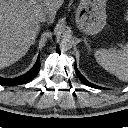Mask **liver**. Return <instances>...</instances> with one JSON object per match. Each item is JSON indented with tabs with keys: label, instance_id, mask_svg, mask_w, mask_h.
Wrapping results in <instances>:
<instances>
[{
	"label": "liver",
	"instance_id": "1",
	"mask_svg": "<svg viewBox=\"0 0 128 128\" xmlns=\"http://www.w3.org/2000/svg\"><path fill=\"white\" fill-rule=\"evenodd\" d=\"M64 0H0V69L22 58L40 30L38 15L45 13L48 22Z\"/></svg>",
	"mask_w": 128,
	"mask_h": 128
}]
</instances>
